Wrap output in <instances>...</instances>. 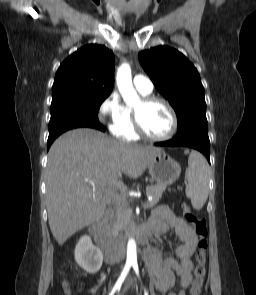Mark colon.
<instances>
[{
    "label": "colon",
    "instance_id": "1",
    "mask_svg": "<svg viewBox=\"0 0 256 295\" xmlns=\"http://www.w3.org/2000/svg\"><path fill=\"white\" fill-rule=\"evenodd\" d=\"M183 218L187 223H190L194 227V233L197 238L196 251L194 254L195 266H194V279L190 288V295H201L204 278L206 274V249L207 243V224L203 217L197 216L190 211V209L183 204L182 205Z\"/></svg>",
    "mask_w": 256,
    "mask_h": 295
}]
</instances>
